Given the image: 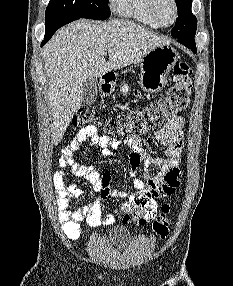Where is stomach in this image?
<instances>
[{"instance_id":"1","label":"stomach","mask_w":233,"mask_h":286,"mask_svg":"<svg viewBox=\"0 0 233 286\" xmlns=\"http://www.w3.org/2000/svg\"><path fill=\"white\" fill-rule=\"evenodd\" d=\"M178 58L177 50L169 44L158 46L144 55L140 62L139 80L143 91L156 93L162 90Z\"/></svg>"}]
</instances>
